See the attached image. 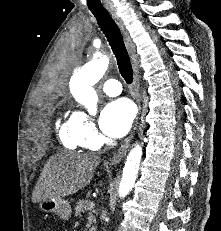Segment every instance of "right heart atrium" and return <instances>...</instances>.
Instances as JSON below:
<instances>
[{"instance_id":"1","label":"right heart atrium","mask_w":221,"mask_h":231,"mask_svg":"<svg viewBox=\"0 0 221 231\" xmlns=\"http://www.w3.org/2000/svg\"><path fill=\"white\" fill-rule=\"evenodd\" d=\"M72 116L83 146L88 148L96 146L100 136L93 119L81 110L75 111Z\"/></svg>"}]
</instances>
